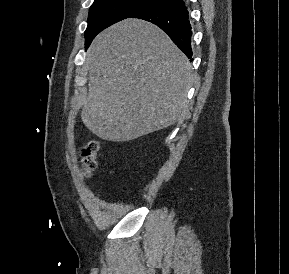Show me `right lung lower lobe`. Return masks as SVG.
Segmentation results:
<instances>
[{
  "instance_id": "98d812e1",
  "label": "right lung lower lobe",
  "mask_w": 289,
  "mask_h": 274,
  "mask_svg": "<svg viewBox=\"0 0 289 274\" xmlns=\"http://www.w3.org/2000/svg\"><path fill=\"white\" fill-rule=\"evenodd\" d=\"M131 18H139L159 26L188 58L192 57L191 25L183 0H163Z\"/></svg>"
}]
</instances>
